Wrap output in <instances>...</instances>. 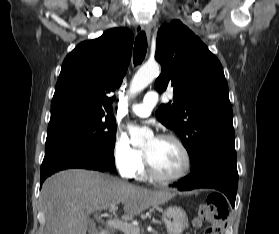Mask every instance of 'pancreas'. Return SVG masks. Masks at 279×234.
I'll return each instance as SVG.
<instances>
[{"mask_svg": "<svg viewBox=\"0 0 279 234\" xmlns=\"http://www.w3.org/2000/svg\"><path fill=\"white\" fill-rule=\"evenodd\" d=\"M133 228H134L135 231H130V232H128V233H125V232H124V233H125V234H139V231H140L139 228H138V227H134V226H133Z\"/></svg>", "mask_w": 279, "mask_h": 234, "instance_id": "obj_1", "label": "pancreas"}]
</instances>
